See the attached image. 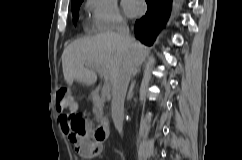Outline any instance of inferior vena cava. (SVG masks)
Instances as JSON below:
<instances>
[{"label": "inferior vena cava", "instance_id": "602c4592", "mask_svg": "<svg viewBox=\"0 0 242 160\" xmlns=\"http://www.w3.org/2000/svg\"><path fill=\"white\" fill-rule=\"evenodd\" d=\"M117 34L128 42L131 46V38L129 34V28L126 23L118 24ZM127 68L123 69V72H119L116 83L113 86L112 90V119L115 125V128L122 135L123 133V120H124V101L126 97V92L128 88L129 81L133 77V73H140V68H135V63L130 61L127 63Z\"/></svg>", "mask_w": 242, "mask_h": 160}]
</instances>
